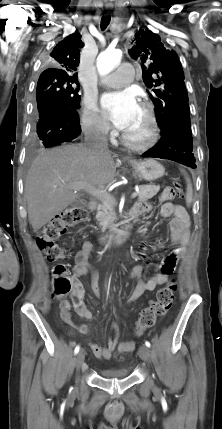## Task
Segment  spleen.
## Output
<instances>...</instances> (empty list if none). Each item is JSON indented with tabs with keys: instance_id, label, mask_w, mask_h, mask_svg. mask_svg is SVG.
<instances>
[{
	"instance_id": "3e777b00",
	"label": "spleen",
	"mask_w": 222,
	"mask_h": 429,
	"mask_svg": "<svg viewBox=\"0 0 222 429\" xmlns=\"http://www.w3.org/2000/svg\"><path fill=\"white\" fill-rule=\"evenodd\" d=\"M182 172L184 171L182 170ZM185 179L187 183L185 199H186L187 206H190L193 201V188H192L191 180L186 174H185Z\"/></svg>"
}]
</instances>
